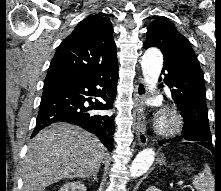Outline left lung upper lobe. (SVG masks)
Returning <instances> with one entry per match:
<instances>
[{"label": "left lung upper lobe", "mask_w": 221, "mask_h": 191, "mask_svg": "<svg viewBox=\"0 0 221 191\" xmlns=\"http://www.w3.org/2000/svg\"><path fill=\"white\" fill-rule=\"evenodd\" d=\"M159 48L164 55V64L177 65L184 62V58L195 55L190 42L176 30L167 19L160 18L150 23L144 48ZM207 148H213L212 136L209 129L208 137L198 141Z\"/></svg>", "instance_id": "left-lung-upper-lobe-1"}]
</instances>
